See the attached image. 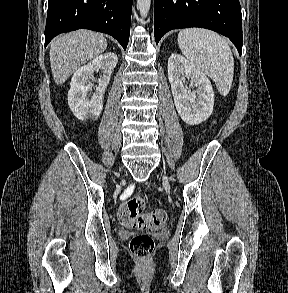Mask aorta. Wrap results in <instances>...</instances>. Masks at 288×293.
Returning a JSON list of instances; mask_svg holds the SVG:
<instances>
[{
	"label": "aorta",
	"mask_w": 288,
	"mask_h": 293,
	"mask_svg": "<svg viewBox=\"0 0 288 293\" xmlns=\"http://www.w3.org/2000/svg\"><path fill=\"white\" fill-rule=\"evenodd\" d=\"M140 15L145 18L150 10L151 0H137Z\"/></svg>",
	"instance_id": "762f6f07"
}]
</instances>
